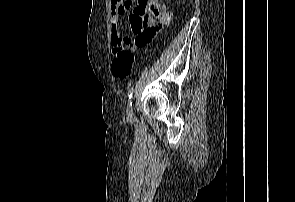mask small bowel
<instances>
[{"instance_id":"obj_1","label":"small bowel","mask_w":295,"mask_h":202,"mask_svg":"<svg viewBox=\"0 0 295 202\" xmlns=\"http://www.w3.org/2000/svg\"><path fill=\"white\" fill-rule=\"evenodd\" d=\"M128 11L129 25L136 36V46L148 43L155 33L169 22L171 16L168 7L158 0H138L133 8L130 0H111V43L114 51L124 45L120 38V20Z\"/></svg>"}]
</instances>
